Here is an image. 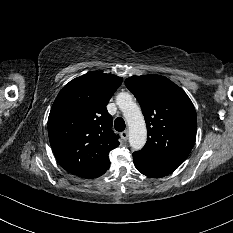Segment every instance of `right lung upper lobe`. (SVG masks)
Segmentation results:
<instances>
[{
    "label": "right lung upper lobe",
    "mask_w": 233,
    "mask_h": 233,
    "mask_svg": "<svg viewBox=\"0 0 233 233\" xmlns=\"http://www.w3.org/2000/svg\"><path fill=\"white\" fill-rule=\"evenodd\" d=\"M122 78L98 71L66 84L48 118V135L60 165L82 178H97L110 167L109 152L119 146L106 105Z\"/></svg>",
    "instance_id": "right-lung-upper-lobe-1"
}]
</instances>
